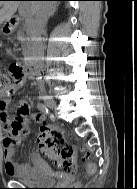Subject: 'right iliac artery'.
Segmentation results:
<instances>
[{"label": "right iliac artery", "instance_id": "right-iliac-artery-1", "mask_svg": "<svg viewBox=\"0 0 137 189\" xmlns=\"http://www.w3.org/2000/svg\"><path fill=\"white\" fill-rule=\"evenodd\" d=\"M37 108L44 113H48L47 107L43 103H38Z\"/></svg>", "mask_w": 137, "mask_h": 189}]
</instances>
